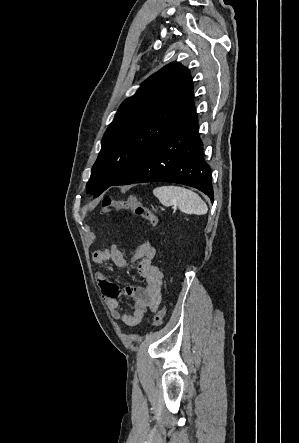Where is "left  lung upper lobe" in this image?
<instances>
[{
    "mask_svg": "<svg viewBox=\"0 0 299 443\" xmlns=\"http://www.w3.org/2000/svg\"><path fill=\"white\" fill-rule=\"evenodd\" d=\"M194 109L192 78L184 66L173 62L150 76L107 128L88 192L103 193Z\"/></svg>",
    "mask_w": 299,
    "mask_h": 443,
    "instance_id": "1",
    "label": "left lung upper lobe"
}]
</instances>
